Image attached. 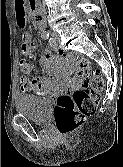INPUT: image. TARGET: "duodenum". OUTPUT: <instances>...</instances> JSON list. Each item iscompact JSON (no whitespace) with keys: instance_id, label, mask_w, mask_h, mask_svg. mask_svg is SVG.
<instances>
[{"instance_id":"obj_1","label":"duodenum","mask_w":123,"mask_h":167,"mask_svg":"<svg viewBox=\"0 0 123 167\" xmlns=\"http://www.w3.org/2000/svg\"><path fill=\"white\" fill-rule=\"evenodd\" d=\"M29 6L35 16V19L37 20L39 29L42 30L45 23L44 14L42 13V11H40L37 0H29Z\"/></svg>"}]
</instances>
